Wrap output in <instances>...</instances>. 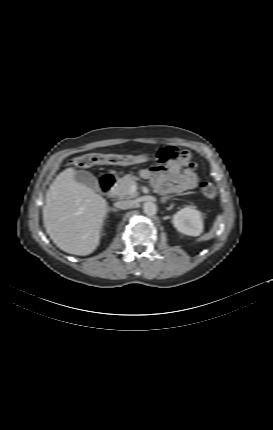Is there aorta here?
<instances>
[{"instance_id":"obj_1","label":"aorta","mask_w":273,"mask_h":430,"mask_svg":"<svg viewBox=\"0 0 273 430\" xmlns=\"http://www.w3.org/2000/svg\"><path fill=\"white\" fill-rule=\"evenodd\" d=\"M143 211L147 216H153L157 213V206L153 202H145L143 205Z\"/></svg>"}]
</instances>
